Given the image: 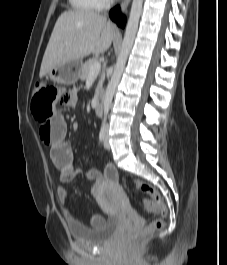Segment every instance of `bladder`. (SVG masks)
<instances>
[{"label":"bladder","instance_id":"1","mask_svg":"<svg viewBox=\"0 0 227 265\" xmlns=\"http://www.w3.org/2000/svg\"><path fill=\"white\" fill-rule=\"evenodd\" d=\"M113 189L120 197H124L121 188L113 186ZM118 226L119 219L116 216H111L106 220L103 219L101 224L92 227L72 222L68 224L69 233L73 239L91 244H99L109 240L117 231Z\"/></svg>","mask_w":227,"mask_h":265}]
</instances>
